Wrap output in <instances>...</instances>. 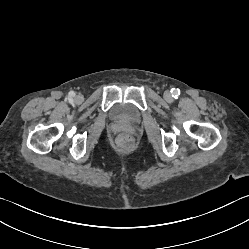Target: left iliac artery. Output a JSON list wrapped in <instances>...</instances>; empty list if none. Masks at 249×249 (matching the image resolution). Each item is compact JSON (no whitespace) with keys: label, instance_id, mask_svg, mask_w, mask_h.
I'll list each match as a JSON object with an SVG mask.
<instances>
[{"label":"left iliac artery","instance_id":"obj_1","mask_svg":"<svg viewBox=\"0 0 249 249\" xmlns=\"http://www.w3.org/2000/svg\"><path fill=\"white\" fill-rule=\"evenodd\" d=\"M171 92H172V96H173L175 99H177L178 96L180 95V90H179V89L173 88V89L171 90Z\"/></svg>","mask_w":249,"mask_h":249}]
</instances>
